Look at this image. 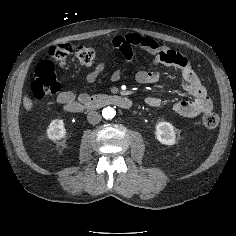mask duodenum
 Returning <instances> with one entry per match:
<instances>
[{
	"instance_id": "410a0bca",
	"label": "duodenum",
	"mask_w": 236,
	"mask_h": 236,
	"mask_svg": "<svg viewBox=\"0 0 236 236\" xmlns=\"http://www.w3.org/2000/svg\"><path fill=\"white\" fill-rule=\"evenodd\" d=\"M115 105L123 109H129L132 106V101L119 94H97L87 96L78 106V110H95L103 106Z\"/></svg>"
}]
</instances>
